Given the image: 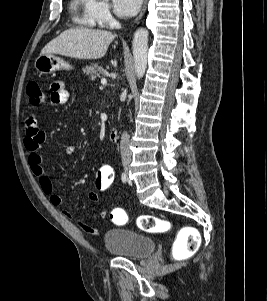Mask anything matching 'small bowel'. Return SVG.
Wrapping results in <instances>:
<instances>
[{"mask_svg": "<svg viewBox=\"0 0 267 301\" xmlns=\"http://www.w3.org/2000/svg\"><path fill=\"white\" fill-rule=\"evenodd\" d=\"M69 98V92L66 88L64 80H56L51 85L50 91V103L54 106H60L67 102ZM46 136L41 131L38 125L37 117L34 114L28 116L25 121V136L23 139L24 147L28 151V164L32 173L38 178L41 190L47 195L54 205L62 204V197L56 193L55 187L51 179L47 176L42 166V156L39 152L41 146L45 143ZM76 147L73 144H68L64 147V153L67 156H71L75 153ZM88 199L91 202H97L100 199V195L96 191H90L88 193ZM63 214L67 217H71V213L68 210H63ZM106 211L100 212V217H106ZM81 228L91 234L98 235V229L80 223Z\"/></svg>", "mask_w": 267, "mask_h": 301, "instance_id": "c3829d8e", "label": "small bowel"}]
</instances>
